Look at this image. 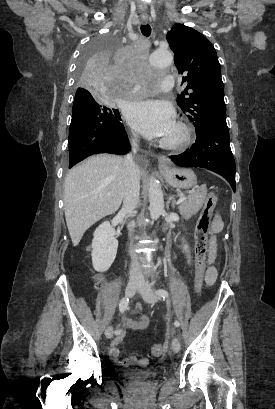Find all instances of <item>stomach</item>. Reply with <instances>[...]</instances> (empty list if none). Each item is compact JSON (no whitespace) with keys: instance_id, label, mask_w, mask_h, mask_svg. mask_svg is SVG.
<instances>
[{"instance_id":"1","label":"stomach","mask_w":275,"mask_h":409,"mask_svg":"<svg viewBox=\"0 0 275 409\" xmlns=\"http://www.w3.org/2000/svg\"><path fill=\"white\" fill-rule=\"evenodd\" d=\"M168 184L174 188H191L196 184V174L191 168H176V166H164L160 168Z\"/></svg>"}]
</instances>
